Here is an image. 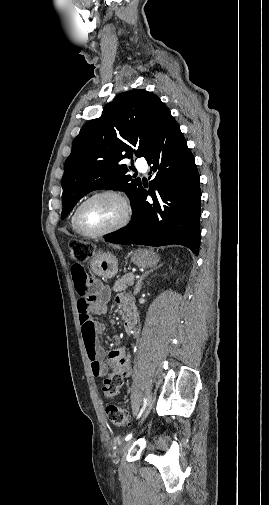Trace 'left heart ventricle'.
Wrapping results in <instances>:
<instances>
[{"mask_svg":"<svg viewBox=\"0 0 269 505\" xmlns=\"http://www.w3.org/2000/svg\"><path fill=\"white\" fill-rule=\"evenodd\" d=\"M122 215L121 202L116 198L104 196L86 204L81 211L80 219L88 230L101 231L115 225Z\"/></svg>","mask_w":269,"mask_h":505,"instance_id":"obj_1","label":"left heart ventricle"}]
</instances>
